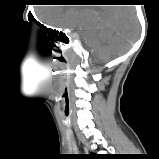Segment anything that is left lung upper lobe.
<instances>
[{"label": "left lung upper lobe", "mask_w": 159, "mask_h": 159, "mask_svg": "<svg viewBox=\"0 0 159 159\" xmlns=\"http://www.w3.org/2000/svg\"><path fill=\"white\" fill-rule=\"evenodd\" d=\"M107 156H102V155H94L92 154L88 159H107Z\"/></svg>", "instance_id": "5c2ea615"}]
</instances>
